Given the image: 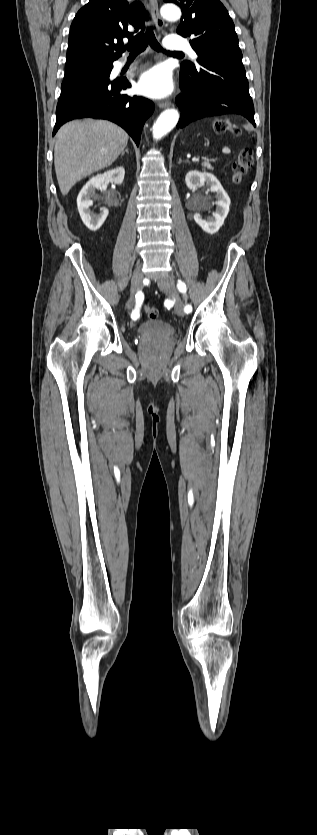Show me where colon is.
<instances>
[{
  "mask_svg": "<svg viewBox=\"0 0 317 835\" xmlns=\"http://www.w3.org/2000/svg\"><path fill=\"white\" fill-rule=\"evenodd\" d=\"M213 130L215 131V133H218V134L231 133V134L236 135V136L241 134V130L237 126L232 125L226 119L216 120L213 123ZM253 162H254V155H253V150L251 148H244L239 152L236 160L232 164V169H231L232 170V181L235 184H239L242 181V179L246 175L247 171L252 166ZM145 312H146L149 319H157L158 316H159L158 310L155 307H152V306H146L145 307Z\"/></svg>",
  "mask_w": 317,
  "mask_h": 835,
  "instance_id": "obj_1",
  "label": "colon"
}]
</instances>
